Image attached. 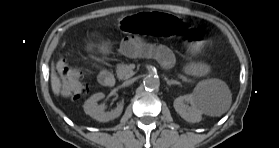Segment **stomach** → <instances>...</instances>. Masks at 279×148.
I'll return each mask as SVG.
<instances>
[{"label": "stomach", "instance_id": "stomach-1", "mask_svg": "<svg viewBox=\"0 0 279 148\" xmlns=\"http://www.w3.org/2000/svg\"><path fill=\"white\" fill-rule=\"evenodd\" d=\"M119 25L128 33L142 31L158 41L180 43L181 49L189 55L202 54L214 39L213 27L208 22L193 16L168 15L158 10L125 16ZM82 39L98 58H107L113 52L112 41L99 27L87 28Z\"/></svg>", "mask_w": 279, "mask_h": 148}]
</instances>
